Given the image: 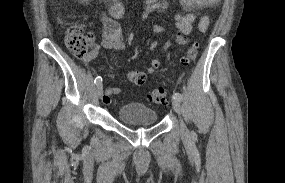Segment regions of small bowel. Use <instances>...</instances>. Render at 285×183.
<instances>
[{"instance_id":"obj_1","label":"small bowel","mask_w":285,"mask_h":183,"mask_svg":"<svg viewBox=\"0 0 285 183\" xmlns=\"http://www.w3.org/2000/svg\"><path fill=\"white\" fill-rule=\"evenodd\" d=\"M106 3L108 15L103 14L100 17L102 29V41L95 44L91 52L84 58V63L89 64L97 57L103 55L104 49L125 50L126 44L123 38L122 29L117 22L124 15V7L119 0H102ZM181 5L180 11L173 15V29H169L162 24L155 25L153 33L155 39L150 45V51H153L157 45V37L160 34H168L169 38L163 45V50H170L172 41L179 45H185L190 42V33L192 32L194 21L199 18L198 29L205 32L210 24L211 15L207 12L208 8L215 7L220 0H177ZM168 0H146L144 17L150 14H161L166 11ZM161 66V61L153 57L149 66L144 71L132 70L128 73V79L136 85L141 86L145 83L148 75L154 74ZM121 89L117 86L107 87L103 102L105 104L114 103L113 96L120 94Z\"/></svg>"}]
</instances>
